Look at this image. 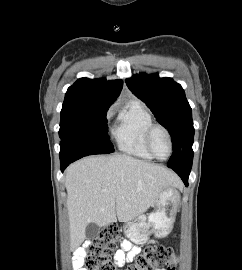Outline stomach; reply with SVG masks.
Wrapping results in <instances>:
<instances>
[{
  "label": "stomach",
  "instance_id": "stomach-1",
  "mask_svg": "<svg viewBox=\"0 0 242 270\" xmlns=\"http://www.w3.org/2000/svg\"><path fill=\"white\" fill-rule=\"evenodd\" d=\"M179 193L174 187L164 189L156 199L155 210L139 215L124 226L126 237L137 245L145 244L153 234L164 238L170 234L178 211Z\"/></svg>",
  "mask_w": 242,
  "mask_h": 270
}]
</instances>
